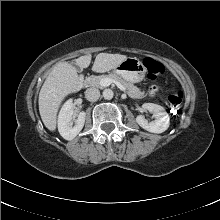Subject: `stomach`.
<instances>
[{
    "label": "stomach",
    "instance_id": "obj_1",
    "mask_svg": "<svg viewBox=\"0 0 220 220\" xmlns=\"http://www.w3.org/2000/svg\"><path fill=\"white\" fill-rule=\"evenodd\" d=\"M115 72L128 82L138 83L145 78L146 68L138 58L127 57Z\"/></svg>",
    "mask_w": 220,
    "mask_h": 220
}]
</instances>
